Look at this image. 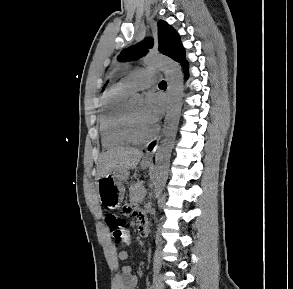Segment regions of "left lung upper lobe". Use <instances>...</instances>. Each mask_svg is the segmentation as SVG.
Instances as JSON below:
<instances>
[{
	"mask_svg": "<svg viewBox=\"0 0 293 289\" xmlns=\"http://www.w3.org/2000/svg\"><path fill=\"white\" fill-rule=\"evenodd\" d=\"M158 41L159 51L170 58L180 62L185 60V50L181 44L180 37L174 28L168 25L165 21L158 22ZM152 47L150 38L145 39L143 42L129 47L122 51L119 55V60H136L147 53V48Z\"/></svg>",
	"mask_w": 293,
	"mask_h": 289,
	"instance_id": "5c2ea615",
	"label": "left lung upper lobe"
}]
</instances>
